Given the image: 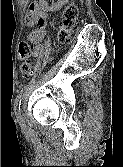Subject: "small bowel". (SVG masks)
<instances>
[{
    "mask_svg": "<svg viewBox=\"0 0 123 167\" xmlns=\"http://www.w3.org/2000/svg\"><path fill=\"white\" fill-rule=\"evenodd\" d=\"M65 1L66 0H57V2L59 3ZM46 20L47 13L44 4H32L30 11L27 13L25 17V22L28 25L36 24V28L29 32L26 36L28 41H30L33 44V48L30 52V55L34 58H40L44 53V46L42 44V41L46 35ZM51 23H53V21H51Z\"/></svg>",
    "mask_w": 123,
    "mask_h": 167,
    "instance_id": "obj_1",
    "label": "small bowel"
}]
</instances>
